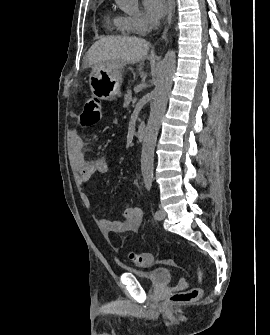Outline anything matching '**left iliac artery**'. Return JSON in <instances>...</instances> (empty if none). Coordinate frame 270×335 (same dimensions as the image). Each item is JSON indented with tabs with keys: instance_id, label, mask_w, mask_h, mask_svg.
Segmentation results:
<instances>
[{
	"instance_id": "44dca946",
	"label": "left iliac artery",
	"mask_w": 270,
	"mask_h": 335,
	"mask_svg": "<svg viewBox=\"0 0 270 335\" xmlns=\"http://www.w3.org/2000/svg\"><path fill=\"white\" fill-rule=\"evenodd\" d=\"M145 185H146V188H147V190L149 191L150 189H151V187H152V180H146L145 181ZM159 216V210H157L156 212H155V218H157Z\"/></svg>"
}]
</instances>
